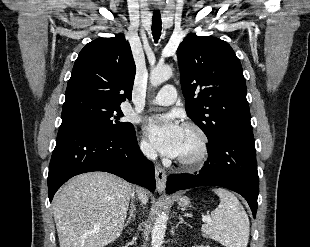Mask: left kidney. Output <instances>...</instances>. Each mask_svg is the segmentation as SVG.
Returning a JSON list of instances; mask_svg holds the SVG:
<instances>
[{
    "mask_svg": "<svg viewBox=\"0 0 310 247\" xmlns=\"http://www.w3.org/2000/svg\"><path fill=\"white\" fill-rule=\"evenodd\" d=\"M199 247H204V246H199ZM206 247H209V246H206Z\"/></svg>",
    "mask_w": 310,
    "mask_h": 247,
    "instance_id": "1",
    "label": "left kidney"
}]
</instances>
